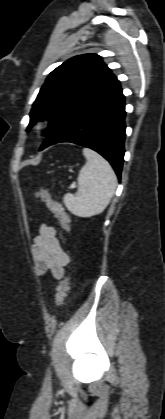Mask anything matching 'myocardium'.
Here are the masks:
<instances>
[{
    "instance_id": "1",
    "label": "myocardium",
    "mask_w": 165,
    "mask_h": 419,
    "mask_svg": "<svg viewBox=\"0 0 165 419\" xmlns=\"http://www.w3.org/2000/svg\"><path fill=\"white\" fill-rule=\"evenodd\" d=\"M48 126H49V121L44 118L37 122L35 129L41 132V131L46 130Z\"/></svg>"
}]
</instances>
